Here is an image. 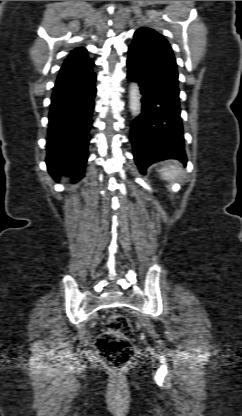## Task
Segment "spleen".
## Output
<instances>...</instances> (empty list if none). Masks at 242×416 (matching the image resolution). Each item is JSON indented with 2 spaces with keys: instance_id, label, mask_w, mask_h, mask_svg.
Listing matches in <instances>:
<instances>
[{
  "instance_id": "obj_1",
  "label": "spleen",
  "mask_w": 242,
  "mask_h": 416,
  "mask_svg": "<svg viewBox=\"0 0 242 416\" xmlns=\"http://www.w3.org/2000/svg\"><path fill=\"white\" fill-rule=\"evenodd\" d=\"M161 178L167 181H173L180 173L178 166L175 164H168L159 170Z\"/></svg>"
}]
</instances>
